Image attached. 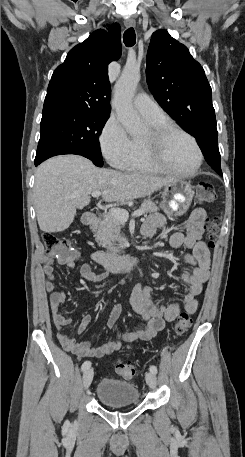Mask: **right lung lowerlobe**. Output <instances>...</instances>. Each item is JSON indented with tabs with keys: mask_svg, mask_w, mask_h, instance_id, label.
Masks as SVG:
<instances>
[{
	"mask_svg": "<svg viewBox=\"0 0 245 457\" xmlns=\"http://www.w3.org/2000/svg\"><path fill=\"white\" fill-rule=\"evenodd\" d=\"M41 162L43 161L35 162V166H38Z\"/></svg>",
	"mask_w": 245,
	"mask_h": 457,
	"instance_id": "right-lung-lower-lobe-1",
	"label": "right lung lower lobe"
}]
</instances>
